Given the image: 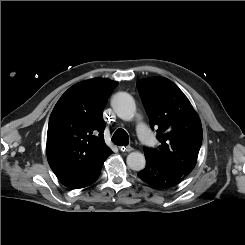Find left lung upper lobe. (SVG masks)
Masks as SVG:
<instances>
[{
	"mask_svg": "<svg viewBox=\"0 0 245 245\" xmlns=\"http://www.w3.org/2000/svg\"><path fill=\"white\" fill-rule=\"evenodd\" d=\"M159 149L144 147L145 157L184 175L194 169L202 144L201 121L184 93L169 79L153 77L137 82Z\"/></svg>",
	"mask_w": 245,
	"mask_h": 245,
	"instance_id": "left-lung-upper-lobe-1",
	"label": "left lung upper lobe"
}]
</instances>
